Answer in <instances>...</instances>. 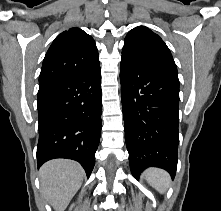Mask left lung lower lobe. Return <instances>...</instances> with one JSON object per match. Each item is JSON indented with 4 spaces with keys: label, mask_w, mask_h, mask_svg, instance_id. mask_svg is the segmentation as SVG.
Masks as SVG:
<instances>
[{
    "label": "left lung lower lobe",
    "mask_w": 221,
    "mask_h": 211,
    "mask_svg": "<svg viewBox=\"0 0 221 211\" xmlns=\"http://www.w3.org/2000/svg\"><path fill=\"white\" fill-rule=\"evenodd\" d=\"M121 98L132 175L148 167L174 178L178 161L179 80L162 70L121 58Z\"/></svg>",
    "instance_id": "left-lung-lower-lobe-1"
}]
</instances>
